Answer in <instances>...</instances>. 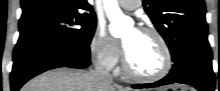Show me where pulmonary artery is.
<instances>
[{"mask_svg":"<svg viewBox=\"0 0 220 91\" xmlns=\"http://www.w3.org/2000/svg\"><path fill=\"white\" fill-rule=\"evenodd\" d=\"M120 6L127 10H134L140 6L141 1L139 0H121L118 1Z\"/></svg>","mask_w":220,"mask_h":91,"instance_id":"1","label":"pulmonary artery"}]
</instances>
